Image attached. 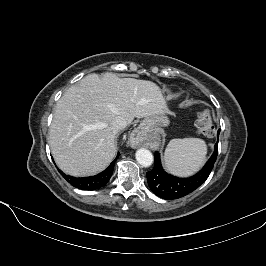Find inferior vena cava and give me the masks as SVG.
<instances>
[{
  "mask_svg": "<svg viewBox=\"0 0 266 266\" xmlns=\"http://www.w3.org/2000/svg\"><path fill=\"white\" fill-rule=\"evenodd\" d=\"M127 126V121L123 117H116L112 121V129L115 133L124 129Z\"/></svg>",
  "mask_w": 266,
  "mask_h": 266,
  "instance_id": "inferior-vena-cava-1",
  "label": "inferior vena cava"
}]
</instances>
